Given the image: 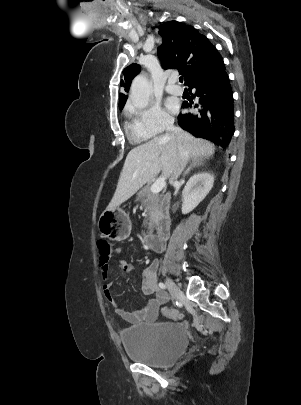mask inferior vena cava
<instances>
[{
    "instance_id": "obj_1",
    "label": "inferior vena cava",
    "mask_w": 301,
    "mask_h": 405,
    "mask_svg": "<svg viewBox=\"0 0 301 405\" xmlns=\"http://www.w3.org/2000/svg\"><path fill=\"white\" fill-rule=\"evenodd\" d=\"M166 130L167 132H170L173 135H175L178 140V157L171 178L169 180L170 184H172L174 181L177 180V178L184 170L189 160L190 153L186 143L184 142L183 131L180 128L174 126L173 119L167 121Z\"/></svg>"
}]
</instances>
